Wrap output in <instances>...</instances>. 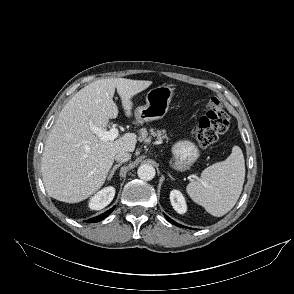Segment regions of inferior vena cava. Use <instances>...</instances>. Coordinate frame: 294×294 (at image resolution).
Returning a JSON list of instances; mask_svg holds the SVG:
<instances>
[{
	"mask_svg": "<svg viewBox=\"0 0 294 294\" xmlns=\"http://www.w3.org/2000/svg\"><path fill=\"white\" fill-rule=\"evenodd\" d=\"M114 159L120 163L127 162L131 159V154L125 151H120L115 155Z\"/></svg>",
	"mask_w": 294,
	"mask_h": 294,
	"instance_id": "602c4592",
	"label": "inferior vena cava"
}]
</instances>
